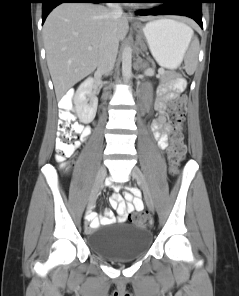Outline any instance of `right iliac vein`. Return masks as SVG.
Masks as SVG:
<instances>
[{"label": "right iliac vein", "mask_w": 239, "mask_h": 296, "mask_svg": "<svg viewBox=\"0 0 239 296\" xmlns=\"http://www.w3.org/2000/svg\"><path fill=\"white\" fill-rule=\"evenodd\" d=\"M106 168L105 166H101L99 168V171H98V174H97V177H96V180H95V184H94V187L92 189V192H91V196H90V205H92L97 196H98V193L100 191V189L102 188L103 186V183H104V180H105V177H106Z\"/></svg>", "instance_id": "63e3f726"}]
</instances>
